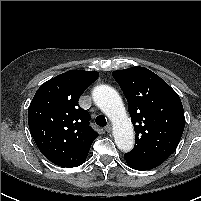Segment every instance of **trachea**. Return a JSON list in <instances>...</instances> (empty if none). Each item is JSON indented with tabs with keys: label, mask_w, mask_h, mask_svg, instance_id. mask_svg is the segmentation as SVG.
<instances>
[{
	"label": "trachea",
	"mask_w": 201,
	"mask_h": 201,
	"mask_svg": "<svg viewBox=\"0 0 201 201\" xmlns=\"http://www.w3.org/2000/svg\"><path fill=\"white\" fill-rule=\"evenodd\" d=\"M95 122L98 126L104 127L107 124L106 118L103 115L96 117Z\"/></svg>",
	"instance_id": "obj_1"
}]
</instances>
